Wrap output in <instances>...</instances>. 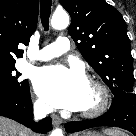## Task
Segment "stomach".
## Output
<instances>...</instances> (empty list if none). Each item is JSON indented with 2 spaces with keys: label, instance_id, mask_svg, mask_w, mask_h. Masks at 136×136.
Wrapping results in <instances>:
<instances>
[{
  "label": "stomach",
  "instance_id": "0dacf381",
  "mask_svg": "<svg viewBox=\"0 0 136 136\" xmlns=\"http://www.w3.org/2000/svg\"><path fill=\"white\" fill-rule=\"evenodd\" d=\"M82 136H103L97 132H87V133H84Z\"/></svg>",
  "mask_w": 136,
  "mask_h": 136
}]
</instances>
